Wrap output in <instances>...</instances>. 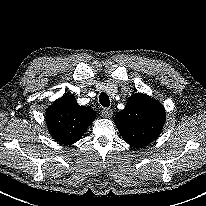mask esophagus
I'll list each match as a JSON object with an SVG mask.
<instances>
[{
	"instance_id": "esophagus-1",
	"label": "esophagus",
	"mask_w": 206,
	"mask_h": 206,
	"mask_svg": "<svg viewBox=\"0 0 206 206\" xmlns=\"http://www.w3.org/2000/svg\"><path fill=\"white\" fill-rule=\"evenodd\" d=\"M113 112L111 109L109 108H103L102 111H101V115L104 117V118H110L112 116Z\"/></svg>"
}]
</instances>
